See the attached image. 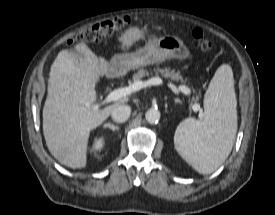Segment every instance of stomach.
Instances as JSON below:
<instances>
[{
	"instance_id": "obj_1",
	"label": "stomach",
	"mask_w": 275,
	"mask_h": 215,
	"mask_svg": "<svg viewBox=\"0 0 275 215\" xmlns=\"http://www.w3.org/2000/svg\"><path fill=\"white\" fill-rule=\"evenodd\" d=\"M190 54L184 43L176 37H161L146 49L136 53L115 55L110 61L113 74L124 75L128 71L149 64L162 62L166 59L185 61Z\"/></svg>"
}]
</instances>
